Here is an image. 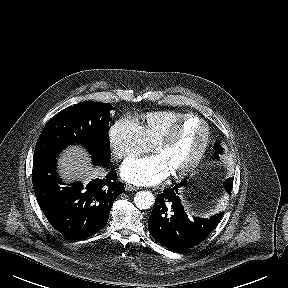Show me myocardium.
Listing matches in <instances>:
<instances>
[{
	"label": "myocardium",
	"mask_w": 288,
	"mask_h": 288,
	"mask_svg": "<svg viewBox=\"0 0 288 288\" xmlns=\"http://www.w3.org/2000/svg\"><path fill=\"white\" fill-rule=\"evenodd\" d=\"M191 120H198L205 126V138L204 143L202 145L201 150L199 151L198 155L195 157V159L186 166L180 173L171 174V178L173 180H182L190 176L194 170L200 165V163L203 161L208 148L210 146L211 142V130L208 122L203 119L202 117L194 114H190L181 120L174 123L172 126H170L162 135H160L156 141L153 143V149H156L161 146H165L170 144L179 130L182 128L183 125H185L187 122Z\"/></svg>",
	"instance_id": "myocardium-1"
}]
</instances>
